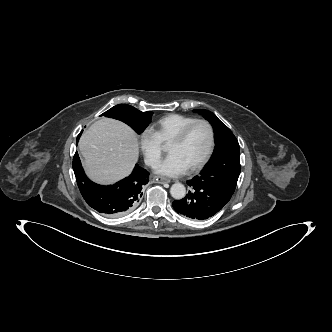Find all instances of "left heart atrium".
Here are the masks:
<instances>
[{"mask_svg":"<svg viewBox=\"0 0 332 332\" xmlns=\"http://www.w3.org/2000/svg\"><path fill=\"white\" fill-rule=\"evenodd\" d=\"M188 170V166L176 154H169L166 158L159 162L155 168V172L168 177H176L184 174Z\"/></svg>","mask_w":332,"mask_h":332,"instance_id":"left-heart-atrium-1","label":"left heart atrium"}]
</instances>
